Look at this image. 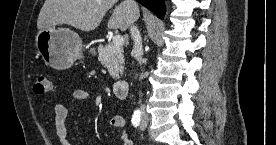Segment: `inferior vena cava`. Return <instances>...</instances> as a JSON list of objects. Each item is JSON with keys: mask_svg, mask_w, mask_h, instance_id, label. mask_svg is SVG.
Returning <instances> with one entry per match:
<instances>
[{"mask_svg": "<svg viewBox=\"0 0 276 145\" xmlns=\"http://www.w3.org/2000/svg\"><path fill=\"white\" fill-rule=\"evenodd\" d=\"M123 3L126 4L128 7H130L131 9H133L134 11H136L138 8V5L135 0H124ZM137 18H138V16H135L134 21L132 22L131 27H130L131 37L134 41V46H133L131 55L141 65V64L145 63V60L142 58V56H143L142 39H141V35H140V32H139L137 26H135L133 24L137 20ZM143 78H144V75L142 73L140 76V79H143ZM140 103H141V100H140ZM140 109H141V111H144V109H145L144 105L141 104Z\"/></svg>", "mask_w": 276, "mask_h": 145, "instance_id": "obj_1", "label": "inferior vena cava"}]
</instances>
